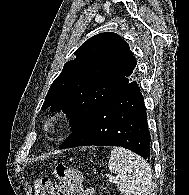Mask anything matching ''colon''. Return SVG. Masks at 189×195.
Listing matches in <instances>:
<instances>
[{
  "instance_id": "colon-1",
  "label": "colon",
  "mask_w": 189,
  "mask_h": 195,
  "mask_svg": "<svg viewBox=\"0 0 189 195\" xmlns=\"http://www.w3.org/2000/svg\"><path fill=\"white\" fill-rule=\"evenodd\" d=\"M58 184L54 185L47 178H38L35 182L36 195H84L82 173L79 169L66 164L56 166Z\"/></svg>"
}]
</instances>
